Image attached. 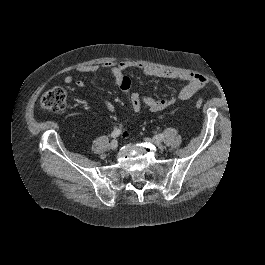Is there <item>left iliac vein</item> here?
<instances>
[{
  "label": "left iliac vein",
  "mask_w": 265,
  "mask_h": 265,
  "mask_svg": "<svg viewBox=\"0 0 265 265\" xmlns=\"http://www.w3.org/2000/svg\"><path fill=\"white\" fill-rule=\"evenodd\" d=\"M151 143H153L154 145L160 147V148H163L162 144L160 143V141H157V140H149Z\"/></svg>",
  "instance_id": "1"
}]
</instances>
